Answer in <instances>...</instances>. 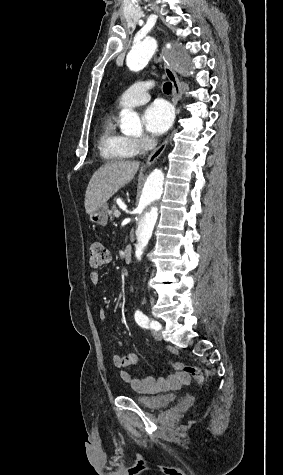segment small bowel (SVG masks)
<instances>
[{
  "instance_id": "c3829d8e",
  "label": "small bowel",
  "mask_w": 283,
  "mask_h": 475,
  "mask_svg": "<svg viewBox=\"0 0 283 475\" xmlns=\"http://www.w3.org/2000/svg\"><path fill=\"white\" fill-rule=\"evenodd\" d=\"M100 274L96 271L91 272L89 275V280L92 285H98L100 283ZM99 319L101 321H106L108 319V312L106 309L101 308L98 312ZM118 345H122L120 340L117 341ZM138 362V357L133 353H127L124 355H114L112 357V364L117 369H124L128 366L135 365ZM122 379L129 383L134 389H142L145 385L150 383L167 381L173 388L180 387L184 385L182 378L178 374L170 375L166 378H159L155 380L153 378H138L133 376L130 372L122 370L121 371Z\"/></svg>"
}]
</instances>
